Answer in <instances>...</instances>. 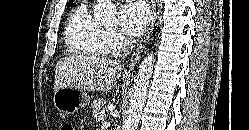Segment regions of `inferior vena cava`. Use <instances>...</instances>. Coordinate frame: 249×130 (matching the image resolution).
<instances>
[{"instance_id":"inferior-vena-cava-1","label":"inferior vena cava","mask_w":249,"mask_h":130,"mask_svg":"<svg viewBox=\"0 0 249 130\" xmlns=\"http://www.w3.org/2000/svg\"><path fill=\"white\" fill-rule=\"evenodd\" d=\"M134 47V40H127L124 44V50L128 51Z\"/></svg>"}]
</instances>
